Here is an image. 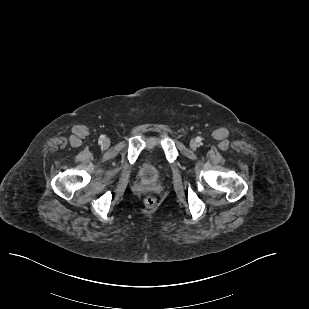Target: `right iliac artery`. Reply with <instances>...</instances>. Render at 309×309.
<instances>
[{
	"label": "right iliac artery",
	"mask_w": 309,
	"mask_h": 309,
	"mask_svg": "<svg viewBox=\"0 0 309 309\" xmlns=\"http://www.w3.org/2000/svg\"><path fill=\"white\" fill-rule=\"evenodd\" d=\"M99 143L101 144V143H102V140H99Z\"/></svg>",
	"instance_id": "82829eb1"
}]
</instances>
